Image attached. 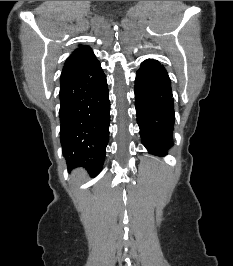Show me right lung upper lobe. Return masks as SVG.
Returning <instances> with one entry per match:
<instances>
[{"label":"right lung upper lobe","instance_id":"1","mask_svg":"<svg viewBox=\"0 0 233 266\" xmlns=\"http://www.w3.org/2000/svg\"><path fill=\"white\" fill-rule=\"evenodd\" d=\"M93 56H94L93 51L91 50V48L89 46H79V48H77L72 53V55L67 58V60L64 64L61 76L71 72L72 70H74L78 67H80L88 59H90Z\"/></svg>","mask_w":233,"mask_h":266}]
</instances>
